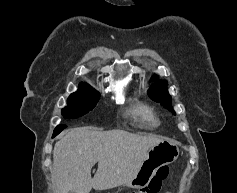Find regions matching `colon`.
<instances>
[{
    "label": "colon",
    "mask_w": 237,
    "mask_h": 193,
    "mask_svg": "<svg viewBox=\"0 0 237 193\" xmlns=\"http://www.w3.org/2000/svg\"><path fill=\"white\" fill-rule=\"evenodd\" d=\"M167 175L168 167L161 166L157 169L148 184L131 193H159L162 183L166 179Z\"/></svg>",
    "instance_id": "obj_1"
}]
</instances>
